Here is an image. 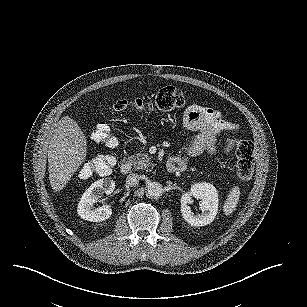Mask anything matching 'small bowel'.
I'll return each mask as SVG.
<instances>
[{"instance_id":"obj_1","label":"small bowel","mask_w":307,"mask_h":307,"mask_svg":"<svg viewBox=\"0 0 307 307\" xmlns=\"http://www.w3.org/2000/svg\"><path fill=\"white\" fill-rule=\"evenodd\" d=\"M182 124L186 129L196 134L192 142L185 148L184 155L174 158L184 167L188 157L197 156L203 152L214 154L218 135L238 131V126L224 119L219 110L197 104L190 105L185 110ZM232 148L233 146L227 143L225 151L229 153Z\"/></svg>"}]
</instances>
